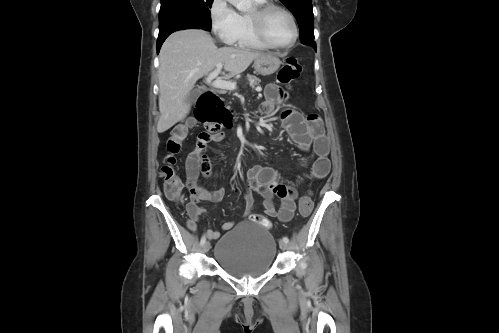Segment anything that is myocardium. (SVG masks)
I'll use <instances>...</instances> for the list:
<instances>
[{"mask_svg": "<svg viewBox=\"0 0 499 333\" xmlns=\"http://www.w3.org/2000/svg\"><path fill=\"white\" fill-rule=\"evenodd\" d=\"M273 10L282 11L283 13H285L288 16V18L291 21L292 28H293V36H292L291 40L286 44H283V45L274 44L273 42L270 41V39L268 38V36L266 34L265 27H264L265 19H266L267 15ZM248 16H249V20L251 22L254 33L260 39V41H262L269 48L288 49L296 43L298 36H299V29H298V25H297L295 16L288 8H286L280 4H277V3L268 2V3L257 5L254 8V10L248 14Z\"/></svg>", "mask_w": 499, "mask_h": 333, "instance_id": "obj_1", "label": "myocardium"}]
</instances>
